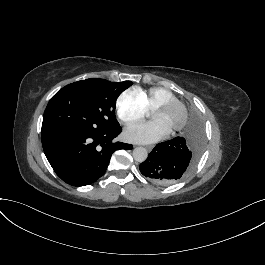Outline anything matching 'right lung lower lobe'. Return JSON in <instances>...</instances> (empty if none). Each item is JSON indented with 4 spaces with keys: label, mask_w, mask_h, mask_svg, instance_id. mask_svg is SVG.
I'll list each match as a JSON object with an SVG mask.
<instances>
[{
    "label": "right lung lower lobe",
    "mask_w": 265,
    "mask_h": 265,
    "mask_svg": "<svg viewBox=\"0 0 265 265\" xmlns=\"http://www.w3.org/2000/svg\"><path fill=\"white\" fill-rule=\"evenodd\" d=\"M121 130L56 133L42 138L43 150L64 182L77 187L89 185L105 173L113 152L132 149L130 144L113 142Z\"/></svg>",
    "instance_id": "right-lung-lower-lobe-1"
}]
</instances>
